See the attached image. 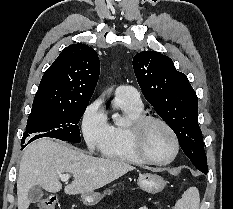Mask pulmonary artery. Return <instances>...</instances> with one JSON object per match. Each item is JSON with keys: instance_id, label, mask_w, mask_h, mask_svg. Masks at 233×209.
<instances>
[{"instance_id": "1", "label": "pulmonary artery", "mask_w": 233, "mask_h": 209, "mask_svg": "<svg viewBox=\"0 0 233 209\" xmlns=\"http://www.w3.org/2000/svg\"><path fill=\"white\" fill-rule=\"evenodd\" d=\"M116 97L132 104H142L139 92L130 85H121L116 89Z\"/></svg>"}]
</instances>
